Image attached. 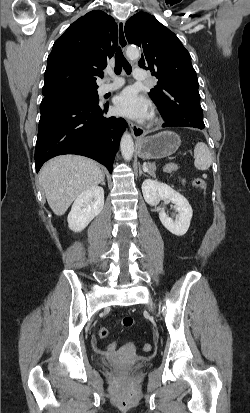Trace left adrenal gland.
<instances>
[{"instance_id": "1", "label": "left adrenal gland", "mask_w": 250, "mask_h": 413, "mask_svg": "<svg viewBox=\"0 0 250 413\" xmlns=\"http://www.w3.org/2000/svg\"><path fill=\"white\" fill-rule=\"evenodd\" d=\"M143 166H146V164H144ZM142 174L146 176L145 172H142L141 168L139 167V175L141 176Z\"/></svg>"}]
</instances>
